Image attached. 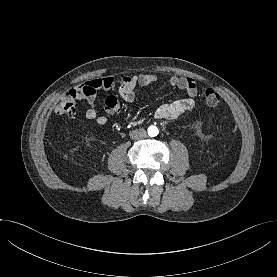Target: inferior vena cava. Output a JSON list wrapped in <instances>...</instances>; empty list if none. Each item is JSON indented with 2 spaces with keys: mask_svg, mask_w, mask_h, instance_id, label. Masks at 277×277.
<instances>
[{
  "mask_svg": "<svg viewBox=\"0 0 277 277\" xmlns=\"http://www.w3.org/2000/svg\"><path fill=\"white\" fill-rule=\"evenodd\" d=\"M146 137V131L143 128L136 129L130 132V138L133 140H139Z\"/></svg>",
  "mask_w": 277,
  "mask_h": 277,
  "instance_id": "1",
  "label": "inferior vena cava"
}]
</instances>
